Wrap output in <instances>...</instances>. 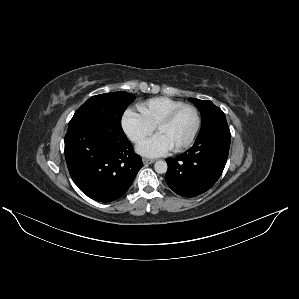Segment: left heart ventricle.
I'll return each mask as SVG.
<instances>
[{"label": "left heart ventricle", "instance_id": "1", "mask_svg": "<svg viewBox=\"0 0 299 299\" xmlns=\"http://www.w3.org/2000/svg\"><path fill=\"white\" fill-rule=\"evenodd\" d=\"M195 125V113L191 109H184L170 124L159 128L158 133L163 135L175 148L191 136Z\"/></svg>", "mask_w": 299, "mask_h": 299}]
</instances>
